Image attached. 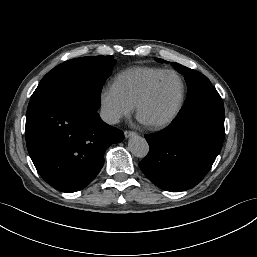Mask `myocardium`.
<instances>
[{"label":"myocardium","mask_w":257,"mask_h":257,"mask_svg":"<svg viewBox=\"0 0 257 257\" xmlns=\"http://www.w3.org/2000/svg\"><path fill=\"white\" fill-rule=\"evenodd\" d=\"M166 75H174L179 80L181 92L176 107L167 118L158 122H146V124L153 129H163L171 125L181 113L186 98V84L182 76L174 70H164L149 81V83L146 85L145 89L142 91L139 98L137 99L135 107L138 117H140L142 105L151 95L156 83Z\"/></svg>","instance_id":"f54148a6"}]
</instances>
